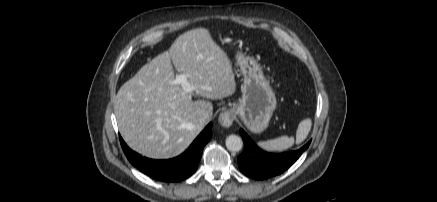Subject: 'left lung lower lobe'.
I'll use <instances>...</instances> for the list:
<instances>
[{
    "mask_svg": "<svg viewBox=\"0 0 437 202\" xmlns=\"http://www.w3.org/2000/svg\"><path fill=\"white\" fill-rule=\"evenodd\" d=\"M245 149L238 157V165L243 174L253 179H268L287 170L308 148L311 141L296 151L272 154L262 151L252 139L240 129Z\"/></svg>",
    "mask_w": 437,
    "mask_h": 202,
    "instance_id": "left-lung-lower-lobe-1",
    "label": "left lung lower lobe"
}]
</instances>
